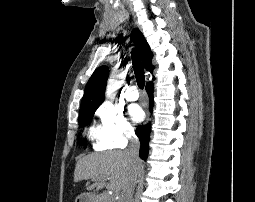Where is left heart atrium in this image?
<instances>
[{
  "label": "left heart atrium",
  "mask_w": 255,
  "mask_h": 202,
  "mask_svg": "<svg viewBox=\"0 0 255 202\" xmlns=\"http://www.w3.org/2000/svg\"><path fill=\"white\" fill-rule=\"evenodd\" d=\"M129 114L135 122H140L144 117V112L140 106L133 104L129 106Z\"/></svg>",
  "instance_id": "obj_1"
}]
</instances>
